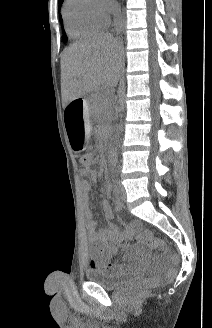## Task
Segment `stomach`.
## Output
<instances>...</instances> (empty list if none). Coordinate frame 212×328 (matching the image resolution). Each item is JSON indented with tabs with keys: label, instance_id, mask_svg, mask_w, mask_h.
Masks as SVG:
<instances>
[{
	"label": "stomach",
	"instance_id": "obj_1",
	"mask_svg": "<svg viewBox=\"0 0 212 328\" xmlns=\"http://www.w3.org/2000/svg\"><path fill=\"white\" fill-rule=\"evenodd\" d=\"M74 101L75 100L68 102L64 110L63 123L64 127L67 128V140H69V145L72 146L73 149H86V142L88 141V136L86 135L88 110L85 109L84 100L83 102Z\"/></svg>",
	"mask_w": 212,
	"mask_h": 328
}]
</instances>
